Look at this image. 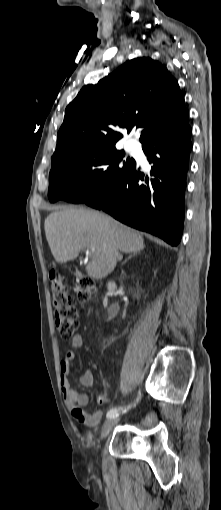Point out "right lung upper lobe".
<instances>
[{"label": "right lung upper lobe", "mask_w": 221, "mask_h": 510, "mask_svg": "<svg viewBox=\"0 0 221 510\" xmlns=\"http://www.w3.org/2000/svg\"><path fill=\"white\" fill-rule=\"evenodd\" d=\"M187 124L188 113L176 79L161 63L135 58L97 84L84 86L67 106L52 166L72 152L115 145L122 138L118 129H143V143Z\"/></svg>", "instance_id": "cb5924a9"}]
</instances>
